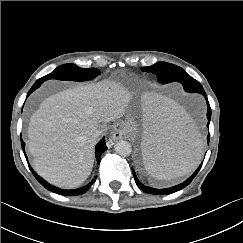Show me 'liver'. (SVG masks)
Returning a JSON list of instances; mask_svg holds the SVG:
<instances>
[{
  "mask_svg": "<svg viewBox=\"0 0 243 243\" xmlns=\"http://www.w3.org/2000/svg\"><path fill=\"white\" fill-rule=\"evenodd\" d=\"M130 94L119 83L80 84L46 98L31 116L28 151L36 172L49 183L66 189L80 186L91 174L93 133L123 117Z\"/></svg>",
  "mask_w": 243,
  "mask_h": 243,
  "instance_id": "6515ba94",
  "label": "liver"
}]
</instances>
